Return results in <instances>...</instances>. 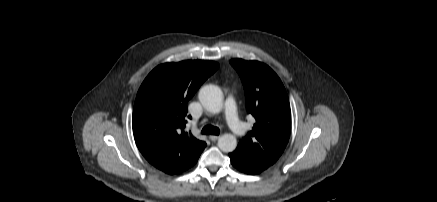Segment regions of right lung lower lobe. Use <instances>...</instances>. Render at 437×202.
<instances>
[{
  "label": "right lung lower lobe",
  "instance_id": "98d812e1",
  "mask_svg": "<svg viewBox=\"0 0 437 202\" xmlns=\"http://www.w3.org/2000/svg\"><path fill=\"white\" fill-rule=\"evenodd\" d=\"M200 156V155H199ZM199 156L198 157H196L190 164H188L185 168H183L180 172H183V171H185V170H187V169H189L190 167H192L194 164H196V162L198 161V158H199ZM180 172H178V173H180Z\"/></svg>",
  "mask_w": 437,
  "mask_h": 202
}]
</instances>
